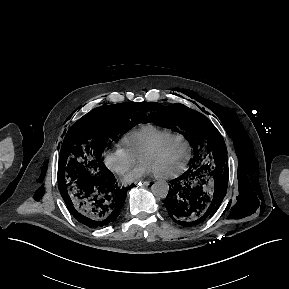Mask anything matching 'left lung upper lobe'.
Instances as JSON below:
<instances>
[{
  "label": "left lung upper lobe",
  "instance_id": "left-lung-upper-lobe-1",
  "mask_svg": "<svg viewBox=\"0 0 289 289\" xmlns=\"http://www.w3.org/2000/svg\"><path fill=\"white\" fill-rule=\"evenodd\" d=\"M141 105L138 115L141 122H153L182 133L188 139L194 150L190 167L206 165L214 169L227 164L224 139L206 116L178 103L163 106L144 102Z\"/></svg>",
  "mask_w": 289,
  "mask_h": 289
}]
</instances>
